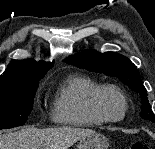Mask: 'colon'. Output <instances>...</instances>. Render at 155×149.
Returning a JSON list of instances; mask_svg holds the SVG:
<instances>
[{"instance_id":"colon-1","label":"colon","mask_w":155,"mask_h":149,"mask_svg":"<svg viewBox=\"0 0 155 149\" xmlns=\"http://www.w3.org/2000/svg\"><path fill=\"white\" fill-rule=\"evenodd\" d=\"M130 149H149L146 143H134L130 146Z\"/></svg>"}]
</instances>
